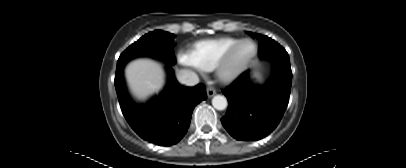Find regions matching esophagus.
Masks as SVG:
<instances>
[{
    "instance_id": "1",
    "label": "esophagus",
    "mask_w": 406,
    "mask_h": 168,
    "mask_svg": "<svg viewBox=\"0 0 406 168\" xmlns=\"http://www.w3.org/2000/svg\"><path fill=\"white\" fill-rule=\"evenodd\" d=\"M206 92L209 98L216 94V90L212 87H207Z\"/></svg>"
}]
</instances>
